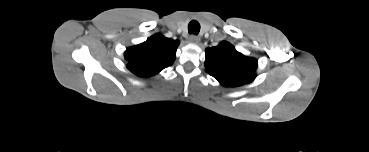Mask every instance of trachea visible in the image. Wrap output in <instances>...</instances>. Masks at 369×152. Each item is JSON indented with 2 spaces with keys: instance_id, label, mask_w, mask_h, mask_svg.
<instances>
[{
  "instance_id": "obj_1",
  "label": "trachea",
  "mask_w": 369,
  "mask_h": 152,
  "mask_svg": "<svg viewBox=\"0 0 369 152\" xmlns=\"http://www.w3.org/2000/svg\"><path fill=\"white\" fill-rule=\"evenodd\" d=\"M188 31L190 34L197 35L200 31V24L196 20H192L188 25Z\"/></svg>"
}]
</instances>
